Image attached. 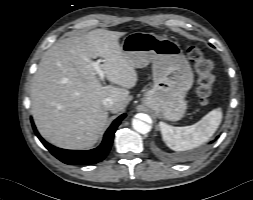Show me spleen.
<instances>
[{
  "label": "spleen",
  "instance_id": "1",
  "mask_svg": "<svg viewBox=\"0 0 253 200\" xmlns=\"http://www.w3.org/2000/svg\"><path fill=\"white\" fill-rule=\"evenodd\" d=\"M222 120L221 108L214 109L197 123L173 127L160 122L163 141L174 151H187L207 142L218 129Z\"/></svg>",
  "mask_w": 253,
  "mask_h": 200
}]
</instances>
